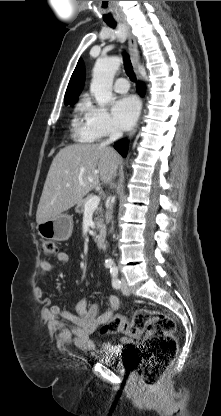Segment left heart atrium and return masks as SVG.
I'll return each mask as SVG.
<instances>
[{
  "label": "left heart atrium",
  "mask_w": 221,
  "mask_h": 416,
  "mask_svg": "<svg viewBox=\"0 0 221 416\" xmlns=\"http://www.w3.org/2000/svg\"><path fill=\"white\" fill-rule=\"evenodd\" d=\"M139 110V102L132 95L118 98L112 107L114 118L118 126L123 130H128L134 125L139 115Z\"/></svg>",
  "instance_id": "1"
}]
</instances>
